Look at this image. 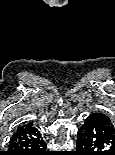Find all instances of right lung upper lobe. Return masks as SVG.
I'll use <instances>...</instances> for the list:
<instances>
[{
  "instance_id": "obj_1",
  "label": "right lung upper lobe",
  "mask_w": 115,
  "mask_h": 155,
  "mask_svg": "<svg viewBox=\"0 0 115 155\" xmlns=\"http://www.w3.org/2000/svg\"><path fill=\"white\" fill-rule=\"evenodd\" d=\"M32 125H33V124L30 123V124L24 125V126H22V127H19V128L17 129V132L22 131V130L29 129V128L33 127Z\"/></svg>"
}]
</instances>
